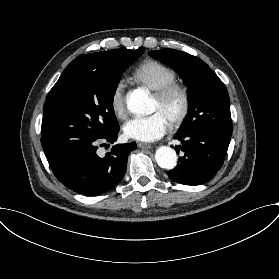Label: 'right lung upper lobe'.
Returning <instances> with one entry per match:
<instances>
[{
  "mask_svg": "<svg viewBox=\"0 0 279 279\" xmlns=\"http://www.w3.org/2000/svg\"><path fill=\"white\" fill-rule=\"evenodd\" d=\"M121 49H113L109 51L90 53L81 55L74 59L69 65L72 66L77 63L86 64L91 68L104 69L122 52Z\"/></svg>",
  "mask_w": 279,
  "mask_h": 279,
  "instance_id": "right-lung-upper-lobe-1",
  "label": "right lung upper lobe"
}]
</instances>
